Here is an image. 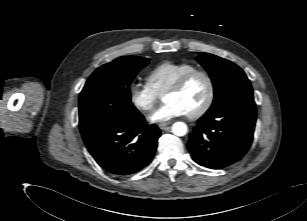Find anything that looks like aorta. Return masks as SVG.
I'll return each instance as SVG.
<instances>
[{
    "instance_id": "762f6f07",
    "label": "aorta",
    "mask_w": 307,
    "mask_h": 221,
    "mask_svg": "<svg viewBox=\"0 0 307 221\" xmlns=\"http://www.w3.org/2000/svg\"><path fill=\"white\" fill-rule=\"evenodd\" d=\"M187 125L183 122H176L172 126V132L176 136H184L187 133Z\"/></svg>"
}]
</instances>
